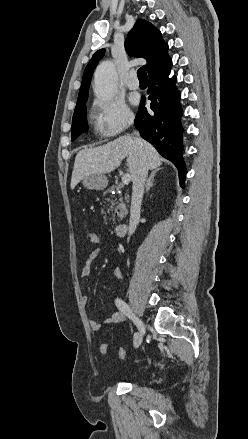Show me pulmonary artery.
<instances>
[{
  "instance_id": "pulmonary-artery-1",
  "label": "pulmonary artery",
  "mask_w": 248,
  "mask_h": 439,
  "mask_svg": "<svg viewBox=\"0 0 248 439\" xmlns=\"http://www.w3.org/2000/svg\"><path fill=\"white\" fill-rule=\"evenodd\" d=\"M125 85L130 90H136L139 88V80L137 79L134 71H131L127 74Z\"/></svg>"
}]
</instances>
